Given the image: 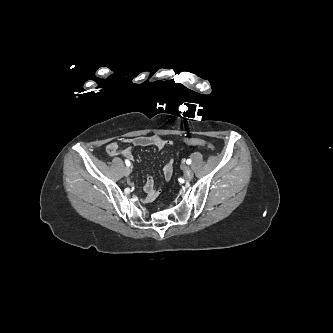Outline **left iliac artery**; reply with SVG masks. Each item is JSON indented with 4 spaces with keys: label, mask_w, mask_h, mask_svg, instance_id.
<instances>
[{
    "label": "left iliac artery",
    "mask_w": 333,
    "mask_h": 333,
    "mask_svg": "<svg viewBox=\"0 0 333 333\" xmlns=\"http://www.w3.org/2000/svg\"><path fill=\"white\" fill-rule=\"evenodd\" d=\"M186 163L189 165L191 164V159H187Z\"/></svg>",
    "instance_id": "left-iliac-artery-1"
}]
</instances>
